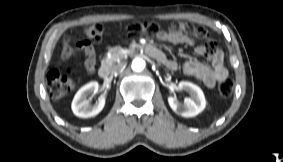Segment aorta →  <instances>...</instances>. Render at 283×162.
I'll return each mask as SVG.
<instances>
[{"mask_svg":"<svg viewBox=\"0 0 283 162\" xmlns=\"http://www.w3.org/2000/svg\"><path fill=\"white\" fill-rule=\"evenodd\" d=\"M145 67V61L141 58H135L132 61L131 68L133 71L139 72L142 71Z\"/></svg>","mask_w":283,"mask_h":162,"instance_id":"762f6f07","label":"aorta"}]
</instances>
